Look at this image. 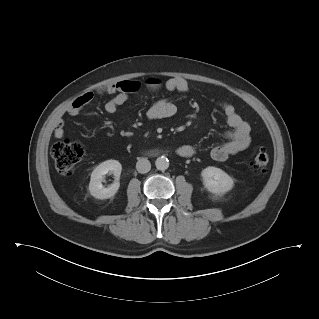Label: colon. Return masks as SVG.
Instances as JSON below:
<instances>
[{
    "mask_svg": "<svg viewBox=\"0 0 319 319\" xmlns=\"http://www.w3.org/2000/svg\"><path fill=\"white\" fill-rule=\"evenodd\" d=\"M145 84L150 88H156L161 84L160 80L148 79ZM140 84L138 82H130L126 90L134 93L138 90ZM51 155L54 160L58 173L63 176H69L74 172L77 163L82 159V146L76 142L63 140L55 143L51 150ZM269 163V156L267 152L261 148L255 150L251 167L257 174H264Z\"/></svg>",
    "mask_w": 319,
    "mask_h": 319,
    "instance_id": "5ec220e1",
    "label": "colon"
}]
</instances>
